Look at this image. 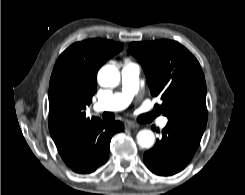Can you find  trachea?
Instances as JSON below:
<instances>
[{
    "label": "trachea",
    "mask_w": 245,
    "mask_h": 195,
    "mask_svg": "<svg viewBox=\"0 0 245 195\" xmlns=\"http://www.w3.org/2000/svg\"><path fill=\"white\" fill-rule=\"evenodd\" d=\"M154 116V114H146L143 116V118L148 119V118H152ZM102 118L104 120H113L115 118L113 113H103L102 114Z\"/></svg>",
    "instance_id": "obj_1"
}]
</instances>
